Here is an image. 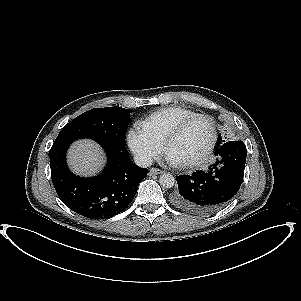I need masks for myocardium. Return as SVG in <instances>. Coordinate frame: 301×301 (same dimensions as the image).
Returning a JSON list of instances; mask_svg holds the SVG:
<instances>
[{
    "instance_id": "obj_1",
    "label": "myocardium",
    "mask_w": 301,
    "mask_h": 301,
    "mask_svg": "<svg viewBox=\"0 0 301 301\" xmlns=\"http://www.w3.org/2000/svg\"><path fill=\"white\" fill-rule=\"evenodd\" d=\"M197 120H204L207 121L210 124L211 127V139L209 142V145L206 149V151L196 160L190 161L185 163L186 168H196L199 166L204 165L207 163L210 159V156L212 152L214 151V148L216 146L217 142V128L214 120L206 115L203 114H196L190 118H187L183 120L181 123H179L172 131L168 133L164 140V150L167 152L170 144L172 141H174L176 138H178L184 131L185 129L193 122Z\"/></svg>"
}]
</instances>
